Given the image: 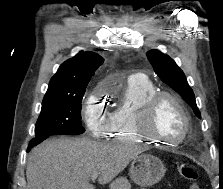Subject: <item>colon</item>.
I'll list each match as a JSON object with an SVG mask.
<instances>
[{"label": "colon", "instance_id": "5ec220e1", "mask_svg": "<svg viewBox=\"0 0 223 189\" xmlns=\"http://www.w3.org/2000/svg\"><path fill=\"white\" fill-rule=\"evenodd\" d=\"M180 175L189 182L188 189H200L199 174L196 167L190 163H183L179 166Z\"/></svg>", "mask_w": 223, "mask_h": 189}]
</instances>
